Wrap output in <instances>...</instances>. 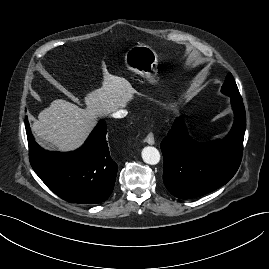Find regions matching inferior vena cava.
Instances as JSON below:
<instances>
[{"instance_id":"obj_1","label":"inferior vena cava","mask_w":269,"mask_h":269,"mask_svg":"<svg viewBox=\"0 0 269 269\" xmlns=\"http://www.w3.org/2000/svg\"><path fill=\"white\" fill-rule=\"evenodd\" d=\"M128 114L127 110H118L112 114L114 118H124Z\"/></svg>"}]
</instances>
